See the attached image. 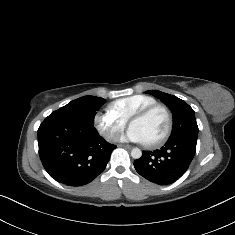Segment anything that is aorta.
<instances>
[{"instance_id":"obj_1","label":"aorta","mask_w":235,"mask_h":235,"mask_svg":"<svg viewBox=\"0 0 235 235\" xmlns=\"http://www.w3.org/2000/svg\"><path fill=\"white\" fill-rule=\"evenodd\" d=\"M131 156L134 159H139L142 156V151L139 148H133L131 150Z\"/></svg>"}]
</instances>
